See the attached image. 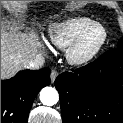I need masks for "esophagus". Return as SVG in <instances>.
I'll list each match as a JSON object with an SVG mask.
<instances>
[{
  "label": "esophagus",
  "instance_id": "34e87169",
  "mask_svg": "<svg viewBox=\"0 0 123 123\" xmlns=\"http://www.w3.org/2000/svg\"><path fill=\"white\" fill-rule=\"evenodd\" d=\"M57 76H58V72L55 69L51 70L50 78L52 83L55 81Z\"/></svg>",
  "mask_w": 123,
  "mask_h": 123
}]
</instances>
